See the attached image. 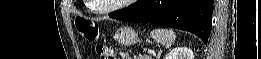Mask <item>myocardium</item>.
<instances>
[{"label": "myocardium", "instance_id": "1", "mask_svg": "<svg viewBox=\"0 0 261 59\" xmlns=\"http://www.w3.org/2000/svg\"><path fill=\"white\" fill-rule=\"evenodd\" d=\"M124 2L116 4L112 7L106 8V9H101V8H93L96 12L100 14H108L111 12H114L116 10H119L125 6V3L129 2V0H123Z\"/></svg>", "mask_w": 261, "mask_h": 59}]
</instances>
